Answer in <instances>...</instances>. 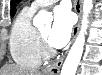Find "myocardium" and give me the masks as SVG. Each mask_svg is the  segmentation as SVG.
Wrapping results in <instances>:
<instances>
[{"mask_svg": "<svg viewBox=\"0 0 102 75\" xmlns=\"http://www.w3.org/2000/svg\"><path fill=\"white\" fill-rule=\"evenodd\" d=\"M38 37H39L41 57L49 58L54 53V50L50 47L47 39L42 35L41 32H39Z\"/></svg>", "mask_w": 102, "mask_h": 75, "instance_id": "1", "label": "myocardium"}]
</instances>
